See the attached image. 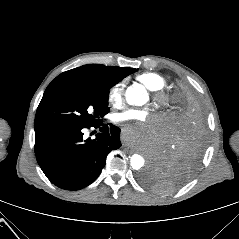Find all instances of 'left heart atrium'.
I'll return each instance as SVG.
<instances>
[{"mask_svg":"<svg viewBox=\"0 0 239 239\" xmlns=\"http://www.w3.org/2000/svg\"><path fill=\"white\" fill-rule=\"evenodd\" d=\"M113 119L118 123L135 120L147 129L152 128L158 121L156 115L149 113V111L145 109H127L123 112L114 114ZM127 132L131 135L132 139H135L139 134L138 131L130 125L127 126Z\"/></svg>","mask_w":239,"mask_h":239,"instance_id":"39dd6f15","label":"left heart atrium"}]
</instances>
